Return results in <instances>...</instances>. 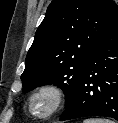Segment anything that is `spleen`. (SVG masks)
<instances>
[{"mask_svg":"<svg viewBox=\"0 0 118 123\" xmlns=\"http://www.w3.org/2000/svg\"><path fill=\"white\" fill-rule=\"evenodd\" d=\"M83 123H114V122L111 120L102 119V118H89V119H85Z\"/></svg>","mask_w":118,"mask_h":123,"instance_id":"spleen-1","label":"spleen"}]
</instances>
